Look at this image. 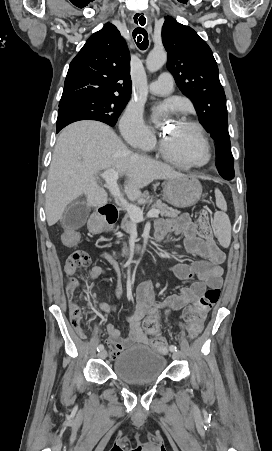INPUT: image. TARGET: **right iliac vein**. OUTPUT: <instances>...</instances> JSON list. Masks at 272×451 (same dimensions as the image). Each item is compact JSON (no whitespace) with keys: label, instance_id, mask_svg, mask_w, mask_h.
I'll return each mask as SVG.
<instances>
[{"label":"right iliac vein","instance_id":"obj_1","mask_svg":"<svg viewBox=\"0 0 272 451\" xmlns=\"http://www.w3.org/2000/svg\"><path fill=\"white\" fill-rule=\"evenodd\" d=\"M98 356L102 359H105L107 356V351L106 350L99 351Z\"/></svg>","mask_w":272,"mask_h":451}]
</instances>
